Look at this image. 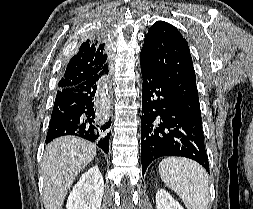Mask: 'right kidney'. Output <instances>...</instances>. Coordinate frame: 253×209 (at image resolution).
I'll use <instances>...</instances> for the list:
<instances>
[{"label":"right kidney","mask_w":253,"mask_h":209,"mask_svg":"<svg viewBox=\"0 0 253 209\" xmlns=\"http://www.w3.org/2000/svg\"><path fill=\"white\" fill-rule=\"evenodd\" d=\"M104 193L103 176L97 166L80 177L69 194L66 209H100Z\"/></svg>","instance_id":"obj_1"}]
</instances>
